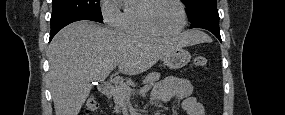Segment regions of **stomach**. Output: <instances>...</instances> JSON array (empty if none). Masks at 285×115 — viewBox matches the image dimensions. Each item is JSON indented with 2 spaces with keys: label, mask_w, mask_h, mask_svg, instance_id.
Wrapping results in <instances>:
<instances>
[{
  "label": "stomach",
  "mask_w": 285,
  "mask_h": 115,
  "mask_svg": "<svg viewBox=\"0 0 285 115\" xmlns=\"http://www.w3.org/2000/svg\"><path fill=\"white\" fill-rule=\"evenodd\" d=\"M191 59L190 53L182 47L175 48L162 57L165 66L170 69L184 67Z\"/></svg>",
  "instance_id": "1"
}]
</instances>
